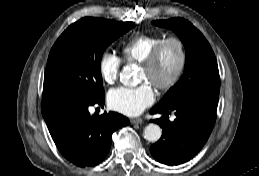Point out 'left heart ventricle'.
<instances>
[{"instance_id": "b2bd125f", "label": "left heart ventricle", "mask_w": 259, "mask_h": 176, "mask_svg": "<svg viewBox=\"0 0 259 176\" xmlns=\"http://www.w3.org/2000/svg\"><path fill=\"white\" fill-rule=\"evenodd\" d=\"M179 62V51L175 44H168L153 70L141 67L140 81H147L153 84L155 81H166L175 72Z\"/></svg>"}]
</instances>
